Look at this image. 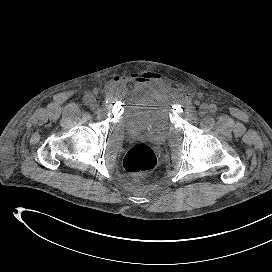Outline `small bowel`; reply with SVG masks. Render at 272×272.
I'll use <instances>...</instances> for the list:
<instances>
[{
	"mask_svg": "<svg viewBox=\"0 0 272 272\" xmlns=\"http://www.w3.org/2000/svg\"><path fill=\"white\" fill-rule=\"evenodd\" d=\"M127 78H129L130 80H132L134 82H137V83H141V82L145 81V79L143 78V76L142 75H138V74H130ZM122 79H125V78L117 77V79H114V80H117V81H114V82L118 83Z\"/></svg>",
	"mask_w": 272,
	"mask_h": 272,
	"instance_id": "obj_1",
	"label": "small bowel"
}]
</instances>
